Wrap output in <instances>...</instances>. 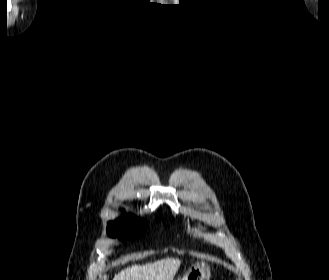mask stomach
<instances>
[{"label": "stomach", "instance_id": "0dacf381", "mask_svg": "<svg viewBox=\"0 0 329 280\" xmlns=\"http://www.w3.org/2000/svg\"><path fill=\"white\" fill-rule=\"evenodd\" d=\"M210 276V267L203 262H197L191 265L178 280H210Z\"/></svg>", "mask_w": 329, "mask_h": 280}]
</instances>
